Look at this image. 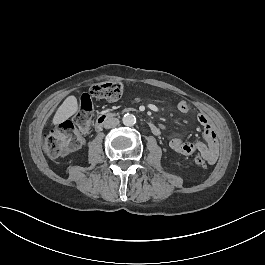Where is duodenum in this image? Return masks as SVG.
Listing matches in <instances>:
<instances>
[{
  "instance_id": "duodenum-1",
  "label": "duodenum",
  "mask_w": 265,
  "mask_h": 265,
  "mask_svg": "<svg viewBox=\"0 0 265 265\" xmlns=\"http://www.w3.org/2000/svg\"><path fill=\"white\" fill-rule=\"evenodd\" d=\"M114 116L113 113L109 112V113H103L97 116L96 120H95V126L94 129L97 130V132L102 128L103 124L110 118H112ZM147 125L149 127V129L151 130V132L157 136L160 135L161 131L159 129V127L151 122L148 121Z\"/></svg>"
}]
</instances>
